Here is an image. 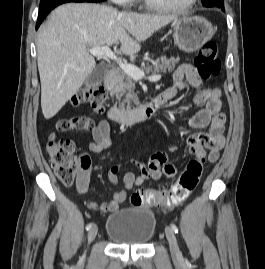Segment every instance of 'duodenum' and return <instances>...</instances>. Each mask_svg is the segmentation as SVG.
Instances as JSON below:
<instances>
[{
  "label": "duodenum",
  "mask_w": 265,
  "mask_h": 269,
  "mask_svg": "<svg viewBox=\"0 0 265 269\" xmlns=\"http://www.w3.org/2000/svg\"><path fill=\"white\" fill-rule=\"evenodd\" d=\"M118 79L119 73L116 69H110L107 72L104 79V86L110 95L114 94ZM161 103V96L159 95L150 102L132 109H120L112 106L109 108L107 116L110 120L118 124L128 125L152 117L157 112Z\"/></svg>",
  "instance_id": "duodenum-1"
}]
</instances>
